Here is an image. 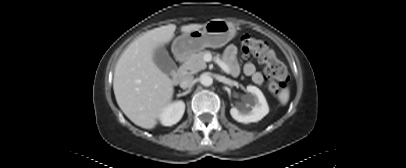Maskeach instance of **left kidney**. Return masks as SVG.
<instances>
[{
  "label": "left kidney",
  "mask_w": 406,
  "mask_h": 168,
  "mask_svg": "<svg viewBox=\"0 0 406 168\" xmlns=\"http://www.w3.org/2000/svg\"><path fill=\"white\" fill-rule=\"evenodd\" d=\"M247 91L252 95L249 106L238 109L236 107L231 108L230 114L233 119L241 123L258 122L269 112L267 101L259 88L256 86H247Z\"/></svg>",
  "instance_id": "1"
}]
</instances>
